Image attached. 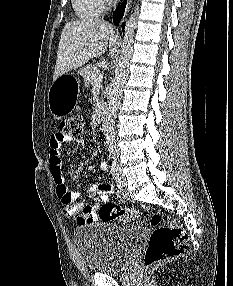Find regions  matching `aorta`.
Returning a JSON list of instances; mask_svg holds the SVG:
<instances>
[{
  "label": "aorta",
  "mask_w": 233,
  "mask_h": 286,
  "mask_svg": "<svg viewBox=\"0 0 233 286\" xmlns=\"http://www.w3.org/2000/svg\"><path fill=\"white\" fill-rule=\"evenodd\" d=\"M136 29V12L132 14L126 24L122 50L115 69L108 108L104 120V129L109 141L114 140L115 116L121 102L123 88L128 78V65L133 52L134 35Z\"/></svg>",
  "instance_id": "obj_1"
}]
</instances>
